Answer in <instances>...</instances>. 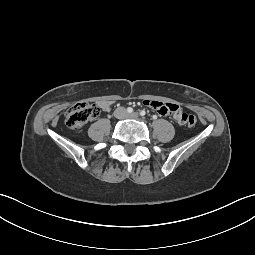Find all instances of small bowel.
I'll return each instance as SVG.
<instances>
[{"label":"small bowel","mask_w":255,"mask_h":255,"mask_svg":"<svg viewBox=\"0 0 255 255\" xmlns=\"http://www.w3.org/2000/svg\"><path fill=\"white\" fill-rule=\"evenodd\" d=\"M113 102L111 100H102L99 102V107L103 111H109ZM144 104L151 109L158 112L160 115L168 116L173 122L183 126L188 122V115L183 112V108L180 105L164 103L156 100H145Z\"/></svg>","instance_id":"obj_1"}]
</instances>
